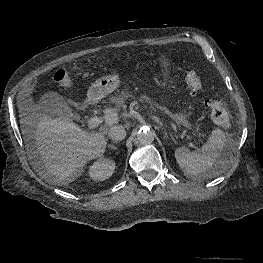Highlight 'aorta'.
I'll return each mask as SVG.
<instances>
[{"mask_svg":"<svg viewBox=\"0 0 263 263\" xmlns=\"http://www.w3.org/2000/svg\"><path fill=\"white\" fill-rule=\"evenodd\" d=\"M155 133L149 128L140 129L137 134V139L141 144H149L154 141Z\"/></svg>","mask_w":263,"mask_h":263,"instance_id":"1","label":"aorta"}]
</instances>
